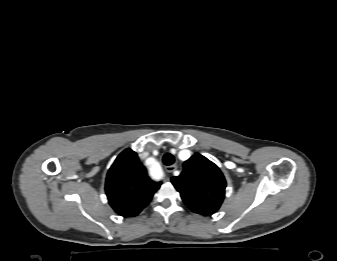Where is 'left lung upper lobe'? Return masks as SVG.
I'll use <instances>...</instances> for the list:
<instances>
[{
    "instance_id": "left-lung-upper-lobe-1",
    "label": "left lung upper lobe",
    "mask_w": 337,
    "mask_h": 261,
    "mask_svg": "<svg viewBox=\"0 0 337 261\" xmlns=\"http://www.w3.org/2000/svg\"><path fill=\"white\" fill-rule=\"evenodd\" d=\"M183 172L171 178L187 207L194 213L210 216L221 206L226 181L220 169L206 157L196 154L183 164Z\"/></svg>"
}]
</instances>
